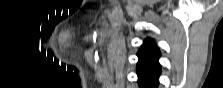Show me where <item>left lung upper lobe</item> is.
<instances>
[{"label": "left lung upper lobe", "mask_w": 223, "mask_h": 88, "mask_svg": "<svg viewBox=\"0 0 223 88\" xmlns=\"http://www.w3.org/2000/svg\"><path fill=\"white\" fill-rule=\"evenodd\" d=\"M138 56L142 59H146L149 60L151 62L158 64V58L160 56L159 50L156 47V45H154V43L151 40H146L143 48L141 51H139Z\"/></svg>", "instance_id": "5c2ea615"}]
</instances>
